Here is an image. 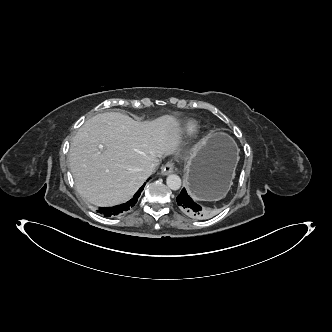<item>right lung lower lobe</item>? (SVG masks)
<instances>
[{
	"instance_id": "obj_1",
	"label": "right lung lower lobe",
	"mask_w": 332,
	"mask_h": 332,
	"mask_svg": "<svg viewBox=\"0 0 332 332\" xmlns=\"http://www.w3.org/2000/svg\"><path fill=\"white\" fill-rule=\"evenodd\" d=\"M144 186H145V183L136 192L134 197L131 200H129L128 202H126L124 204H121V205L114 206V207H100L99 212L101 214H103L105 217H110V216L118 215L119 213H123V212L129 210L130 208H132L136 204L139 196L141 195V192H142Z\"/></svg>"
}]
</instances>
